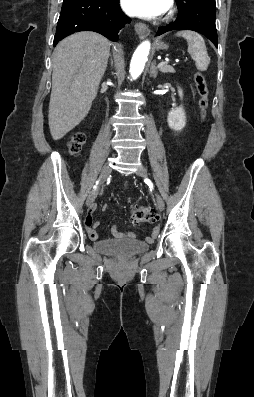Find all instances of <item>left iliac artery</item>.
I'll list each match as a JSON object with an SVG mask.
<instances>
[{
    "instance_id": "1",
    "label": "left iliac artery",
    "mask_w": 254,
    "mask_h": 397,
    "mask_svg": "<svg viewBox=\"0 0 254 397\" xmlns=\"http://www.w3.org/2000/svg\"><path fill=\"white\" fill-rule=\"evenodd\" d=\"M146 182L148 183V185L150 184L147 180H146Z\"/></svg>"
}]
</instances>
